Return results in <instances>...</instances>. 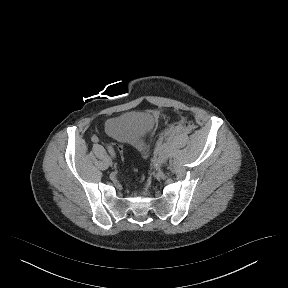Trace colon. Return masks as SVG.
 I'll return each instance as SVG.
<instances>
[{
	"label": "colon",
	"mask_w": 288,
	"mask_h": 288,
	"mask_svg": "<svg viewBox=\"0 0 288 288\" xmlns=\"http://www.w3.org/2000/svg\"><path fill=\"white\" fill-rule=\"evenodd\" d=\"M114 148H117V150H119V154H120L121 158H123L124 152H123V150H122V145H121V143H114Z\"/></svg>",
	"instance_id": "5ec220e1"
}]
</instances>
